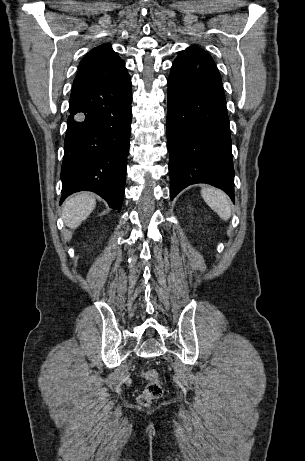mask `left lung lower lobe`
I'll use <instances>...</instances> for the list:
<instances>
[{
    "label": "left lung lower lobe",
    "mask_w": 305,
    "mask_h": 461,
    "mask_svg": "<svg viewBox=\"0 0 305 461\" xmlns=\"http://www.w3.org/2000/svg\"><path fill=\"white\" fill-rule=\"evenodd\" d=\"M167 127L171 199L208 183L234 200L229 119L222 80L211 56L186 49L168 78Z\"/></svg>",
    "instance_id": "obj_1"
}]
</instances>
